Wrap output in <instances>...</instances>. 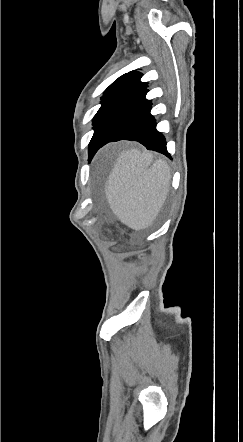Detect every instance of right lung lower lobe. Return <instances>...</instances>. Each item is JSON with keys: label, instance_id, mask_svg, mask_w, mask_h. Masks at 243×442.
<instances>
[{"label": "right lung lower lobe", "instance_id": "98d812e1", "mask_svg": "<svg viewBox=\"0 0 243 442\" xmlns=\"http://www.w3.org/2000/svg\"><path fill=\"white\" fill-rule=\"evenodd\" d=\"M146 87L123 98L98 126L89 144V159L105 144L119 140L138 141L170 157L165 138L156 130L155 118L150 114L152 103L145 98Z\"/></svg>", "mask_w": 243, "mask_h": 442}]
</instances>
